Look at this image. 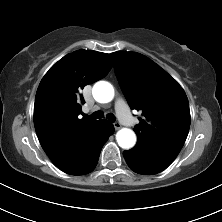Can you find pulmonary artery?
Segmentation results:
<instances>
[{"label": "pulmonary artery", "instance_id": "e3ab8cb5", "mask_svg": "<svg viewBox=\"0 0 222 222\" xmlns=\"http://www.w3.org/2000/svg\"><path fill=\"white\" fill-rule=\"evenodd\" d=\"M115 109L120 120L124 121V112L126 111V103L123 99L119 98L115 102ZM133 123V122H131Z\"/></svg>", "mask_w": 222, "mask_h": 222}]
</instances>
